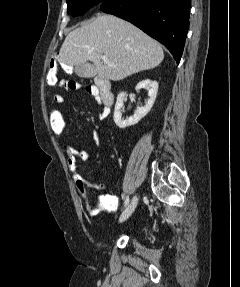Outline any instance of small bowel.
<instances>
[{
  "instance_id": "1",
  "label": "small bowel",
  "mask_w": 240,
  "mask_h": 287,
  "mask_svg": "<svg viewBox=\"0 0 240 287\" xmlns=\"http://www.w3.org/2000/svg\"><path fill=\"white\" fill-rule=\"evenodd\" d=\"M86 91L88 94L93 96L98 102H100V97H99V92L97 87L90 85L86 87ZM54 101L58 103H63L64 98L60 94L54 95ZM110 113V109L107 106H103L101 112L99 113V116L101 118H106ZM59 136V135H57ZM92 138L94 140V143L97 148L100 147V138L97 132L92 133ZM65 153L67 156V163H68V168L71 173H76L77 171V161L82 160V161H88L91 158V153L87 150H78L72 145L65 144ZM100 157V152L99 150L96 151L95 153V158L92 161V164L96 163ZM96 188H101V186L97 185L95 186ZM118 204V198L115 195H103L100 199L99 206L94 207L92 211H89L90 215L92 217H99L100 213L102 212H111L116 208Z\"/></svg>"
}]
</instances>
